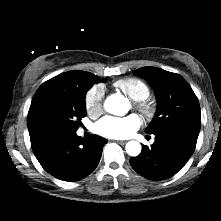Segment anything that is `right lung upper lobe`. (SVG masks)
Here are the masks:
<instances>
[{
	"mask_svg": "<svg viewBox=\"0 0 221 221\" xmlns=\"http://www.w3.org/2000/svg\"><path fill=\"white\" fill-rule=\"evenodd\" d=\"M78 70H73L69 72L62 73L46 82H57V81H62L66 79L67 77L73 75L76 73ZM92 74V73H91ZM28 130H29V135H30V140H31V146L32 149H35L37 146H39L46 138H48L50 133L44 131L40 127H38L30 117H28Z\"/></svg>",
	"mask_w": 221,
	"mask_h": 221,
	"instance_id": "1",
	"label": "right lung upper lobe"
}]
</instances>
